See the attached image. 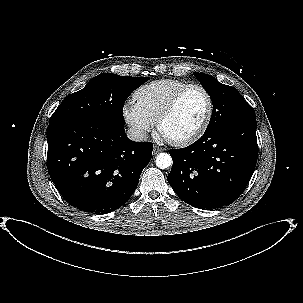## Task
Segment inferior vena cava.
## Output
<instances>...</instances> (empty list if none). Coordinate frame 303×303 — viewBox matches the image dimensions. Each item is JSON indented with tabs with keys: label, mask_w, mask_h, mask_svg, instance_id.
I'll return each mask as SVG.
<instances>
[{
	"label": "inferior vena cava",
	"mask_w": 303,
	"mask_h": 303,
	"mask_svg": "<svg viewBox=\"0 0 303 303\" xmlns=\"http://www.w3.org/2000/svg\"><path fill=\"white\" fill-rule=\"evenodd\" d=\"M127 136L130 140L136 142H143L147 140V135L143 130L137 128H130L127 131Z\"/></svg>",
	"instance_id": "inferior-vena-cava-1"
}]
</instances>
